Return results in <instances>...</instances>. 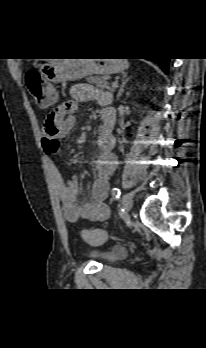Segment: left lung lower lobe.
Segmentation results:
<instances>
[{"label": "left lung lower lobe", "instance_id": "1", "mask_svg": "<svg viewBox=\"0 0 206 348\" xmlns=\"http://www.w3.org/2000/svg\"><path fill=\"white\" fill-rule=\"evenodd\" d=\"M150 60L159 64L162 70L168 74L169 58H154Z\"/></svg>", "mask_w": 206, "mask_h": 348}]
</instances>
